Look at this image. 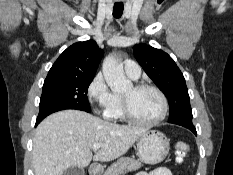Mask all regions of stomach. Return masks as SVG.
Wrapping results in <instances>:
<instances>
[{
  "mask_svg": "<svg viewBox=\"0 0 233 175\" xmlns=\"http://www.w3.org/2000/svg\"><path fill=\"white\" fill-rule=\"evenodd\" d=\"M170 144L167 137L160 131L149 130L137 142V154L140 160L147 164H157L163 161Z\"/></svg>",
  "mask_w": 233,
  "mask_h": 175,
  "instance_id": "stomach-1",
  "label": "stomach"
}]
</instances>
